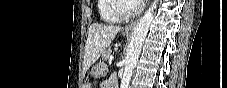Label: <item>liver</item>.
I'll list each match as a JSON object with an SVG mask.
<instances>
[{
    "label": "liver",
    "instance_id": "6515ba94",
    "mask_svg": "<svg viewBox=\"0 0 227 88\" xmlns=\"http://www.w3.org/2000/svg\"><path fill=\"white\" fill-rule=\"evenodd\" d=\"M121 27L93 23L88 31V38L84 50V68L88 69L105 51Z\"/></svg>",
    "mask_w": 227,
    "mask_h": 88
}]
</instances>
